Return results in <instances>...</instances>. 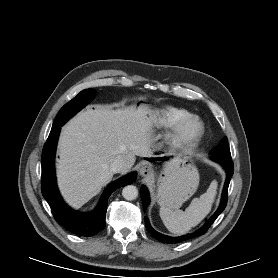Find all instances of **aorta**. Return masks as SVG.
Returning a JSON list of instances; mask_svg holds the SVG:
<instances>
[{
  "mask_svg": "<svg viewBox=\"0 0 278 278\" xmlns=\"http://www.w3.org/2000/svg\"><path fill=\"white\" fill-rule=\"evenodd\" d=\"M122 196L128 201L134 200L138 196V189L136 186L127 185L122 190Z\"/></svg>",
  "mask_w": 278,
  "mask_h": 278,
  "instance_id": "aorta-1",
  "label": "aorta"
}]
</instances>
